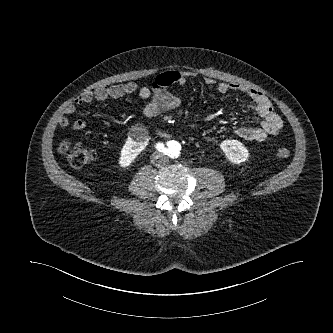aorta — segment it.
Instances as JSON below:
<instances>
[{"mask_svg": "<svg viewBox=\"0 0 333 333\" xmlns=\"http://www.w3.org/2000/svg\"><path fill=\"white\" fill-rule=\"evenodd\" d=\"M174 146L172 147V150L174 151V153L176 154V155H178L180 152V150H181V148H182V144L181 143H179V142H176V141H174Z\"/></svg>", "mask_w": 333, "mask_h": 333, "instance_id": "obj_1", "label": "aorta"}]
</instances>
